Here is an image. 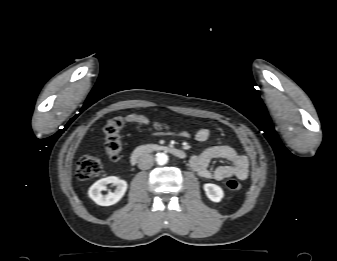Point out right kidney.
<instances>
[{"mask_svg": "<svg viewBox=\"0 0 337 261\" xmlns=\"http://www.w3.org/2000/svg\"><path fill=\"white\" fill-rule=\"evenodd\" d=\"M112 183L116 185L114 192H108L103 195L102 190L106 189V185ZM127 190V182L117 177L111 176L96 181L88 190L89 197L100 206H110L117 203Z\"/></svg>", "mask_w": 337, "mask_h": 261, "instance_id": "1", "label": "right kidney"}]
</instances>
